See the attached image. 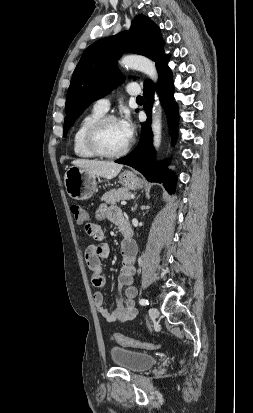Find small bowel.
Returning <instances> with one entry per match:
<instances>
[{"mask_svg":"<svg viewBox=\"0 0 253 413\" xmlns=\"http://www.w3.org/2000/svg\"><path fill=\"white\" fill-rule=\"evenodd\" d=\"M96 218L98 220L108 219L115 223L121 231L122 226L126 223L118 208L110 207L106 204H100L97 207ZM85 231L89 236L98 241V244L89 245L85 250V261L91 270V282L98 289L94 293V302L98 312L108 323H127L134 320L138 313L135 306L137 289L133 285L137 254L135 243L125 239L121 243V269L118 275V289L121 292V297L117 302L116 308L108 310L105 307L104 295L99 289L106 284V273L102 259L109 256L110 248L104 242V232L99 224L88 222L85 225Z\"/></svg>","mask_w":253,"mask_h":413,"instance_id":"obj_1","label":"small bowel"}]
</instances>
